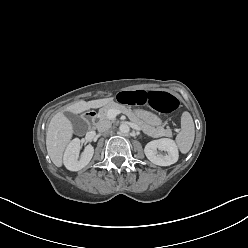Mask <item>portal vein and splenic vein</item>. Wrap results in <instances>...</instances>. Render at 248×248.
<instances>
[{"mask_svg": "<svg viewBox=\"0 0 248 248\" xmlns=\"http://www.w3.org/2000/svg\"><path fill=\"white\" fill-rule=\"evenodd\" d=\"M120 113H121V111H119V110L110 109L107 112V117H108V119H114Z\"/></svg>", "mask_w": 248, "mask_h": 248, "instance_id": "portal-vein-and-splenic-vein-1", "label": "portal vein and splenic vein"}]
</instances>
